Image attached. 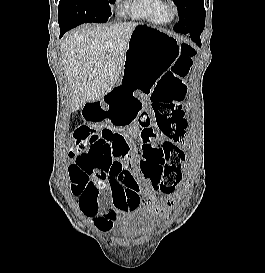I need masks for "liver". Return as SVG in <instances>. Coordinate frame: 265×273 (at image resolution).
<instances>
[{"label": "liver", "mask_w": 265, "mask_h": 273, "mask_svg": "<svg viewBox=\"0 0 265 273\" xmlns=\"http://www.w3.org/2000/svg\"><path fill=\"white\" fill-rule=\"evenodd\" d=\"M138 23L85 25L61 43L62 64L71 89V107L102 99L116 85L129 39Z\"/></svg>", "instance_id": "obj_1"}]
</instances>
